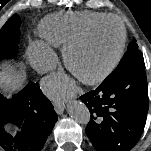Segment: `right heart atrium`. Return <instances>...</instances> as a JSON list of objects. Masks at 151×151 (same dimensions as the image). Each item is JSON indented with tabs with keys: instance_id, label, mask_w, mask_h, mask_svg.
Instances as JSON below:
<instances>
[{
	"instance_id": "right-heart-atrium-1",
	"label": "right heart atrium",
	"mask_w": 151,
	"mask_h": 151,
	"mask_svg": "<svg viewBox=\"0 0 151 151\" xmlns=\"http://www.w3.org/2000/svg\"><path fill=\"white\" fill-rule=\"evenodd\" d=\"M28 56L31 64L41 72L50 69L55 60L53 49L42 41H33L30 44Z\"/></svg>"
}]
</instances>
